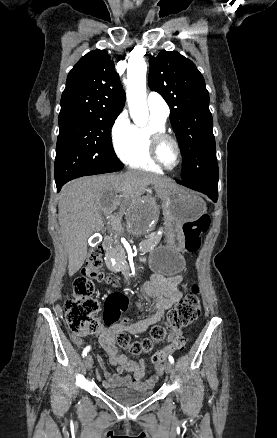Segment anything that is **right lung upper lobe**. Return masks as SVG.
Segmentation results:
<instances>
[{"mask_svg": "<svg viewBox=\"0 0 277 438\" xmlns=\"http://www.w3.org/2000/svg\"><path fill=\"white\" fill-rule=\"evenodd\" d=\"M125 105V91L105 50L83 56L69 72L59 117L116 119Z\"/></svg>", "mask_w": 277, "mask_h": 438, "instance_id": "cb5924a9", "label": "right lung upper lobe"}]
</instances>
